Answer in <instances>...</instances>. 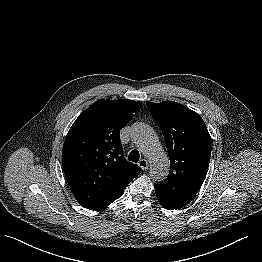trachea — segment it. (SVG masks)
<instances>
[{
    "label": "trachea",
    "mask_w": 262,
    "mask_h": 262,
    "mask_svg": "<svg viewBox=\"0 0 262 262\" xmlns=\"http://www.w3.org/2000/svg\"><path fill=\"white\" fill-rule=\"evenodd\" d=\"M139 158H140V154L138 150H132L129 153V156H128L129 161L138 162Z\"/></svg>",
    "instance_id": "1"
}]
</instances>
